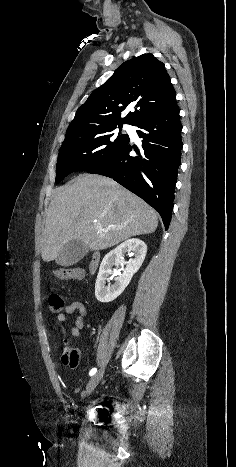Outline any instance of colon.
I'll return each instance as SVG.
<instances>
[{
  "label": "colon",
  "instance_id": "colon-1",
  "mask_svg": "<svg viewBox=\"0 0 236 467\" xmlns=\"http://www.w3.org/2000/svg\"><path fill=\"white\" fill-rule=\"evenodd\" d=\"M54 275L58 279H81L83 277V270L78 267H59L55 270ZM47 307L51 314H59L65 303L61 296L57 293H49L46 297ZM68 365L74 368L78 364V351L73 349L67 354Z\"/></svg>",
  "mask_w": 236,
  "mask_h": 467
}]
</instances>
